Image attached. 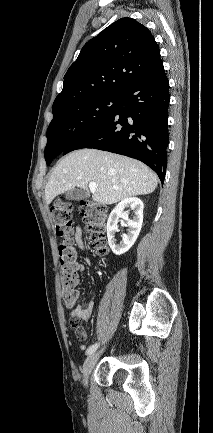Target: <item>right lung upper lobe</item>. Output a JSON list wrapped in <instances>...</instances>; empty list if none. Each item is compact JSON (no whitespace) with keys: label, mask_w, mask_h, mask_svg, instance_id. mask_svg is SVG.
<instances>
[{"label":"right lung upper lobe","mask_w":213,"mask_h":433,"mask_svg":"<svg viewBox=\"0 0 213 433\" xmlns=\"http://www.w3.org/2000/svg\"><path fill=\"white\" fill-rule=\"evenodd\" d=\"M160 58L151 32L121 18L88 41L64 76L52 110L98 95H122Z\"/></svg>","instance_id":"obj_1"}]
</instances>
